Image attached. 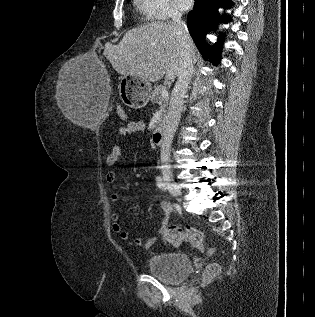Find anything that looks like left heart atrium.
Masks as SVG:
<instances>
[{
    "label": "left heart atrium",
    "mask_w": 315,
    "mask_h": 317,
    "mask_svg": "<svg viewBox=\"0 0 315 317\" xmlns=\"http://www.w3.org/2000/svg\"><path fill=\"white\" fill-rule=\"evenodd\" d=\"M175 3L179 9L187 10L193 5L194 0H175Z\"/></svg>",
    "instance_id": "left-heart-atrium-1"
}]
</instances>
